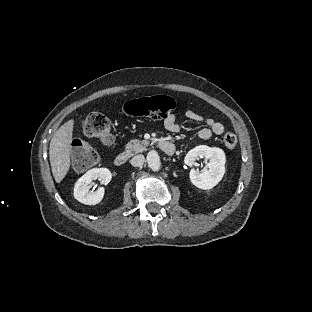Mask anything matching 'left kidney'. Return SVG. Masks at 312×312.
Wrapping results in <instances>:
<instances>
[{
    "instance_id": "obj_1",
    "label": "left kidney",
    "mask_w": 312,
    "mask_h": 312,
    "mask_svg": "<svg viewBox=\"0 0 312 312\" xmlns=\"http://www.w3.org/2000/svg\"><path fill=\"white\" fill-rule=\"evenodd\" d=\"M210 160L207 168L201 171L192 170L190 172V180L192 184L200 190L213 189L224 177L225 173V152L218 147H208L200 145L189 151L185 157L187 165H195L196 160L199 158Z\"/></svg>"
}]
</instances>
